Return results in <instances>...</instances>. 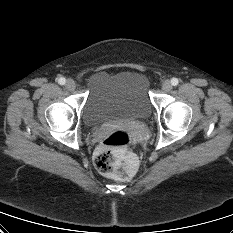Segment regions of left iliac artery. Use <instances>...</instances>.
<instances>
[{"label": "left iliac artery", "mask_w": 233, "mask_h": 233, "mask_svg": "<svg viewBox=\"0 0 233 233\" xmlns=\"http://www.w3.org/2000/svg\"><path fill=\"white\" fill-rule=\"evenodd\" d=\"M178 83H179V81H178L177 78H172V79H171V84H172L173 86H177Z\"/></svg>", "instance_id": "left-iliac-artery-1"}]
</instances>
